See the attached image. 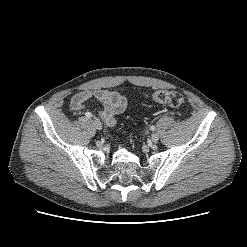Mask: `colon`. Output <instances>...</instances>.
<instances>
[{"instance_id": "colon-1", "label": "colon", "mask_w": 247, "mask_h": 247, "mask_svg": "<svg viewBox=\"0 0 247 247\" xmlns=\"http://www.w3.org/2000/svg\"><path fill=\"white\" fill-rule=\"evenodd\" d=\"M148 98L154 102L178 108L185 104L184 97L176 91L158 90L153 92Z\"/></svg>"}]
</instances>
